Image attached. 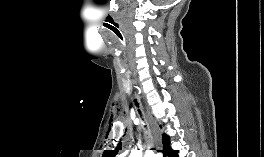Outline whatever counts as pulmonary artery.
I'll list each match as a JSON object with an SVG mask.
<instances>
[{
    "label": "pulmonary artery",
    "instance_id": "1",
    "mask_svg": "<svg viewBox=\"0 0 264 157\" xmlns=\"http://www.w3.org/2000/svg\"><path fill=\"white\" fill-rule=\"evenodd\" d=\"M150 156H152V155H149V154H146V155H145V157H150Z\"/></svg>",
    "mask_w": 264,
    "mask_h": 157
}]
</instances>
